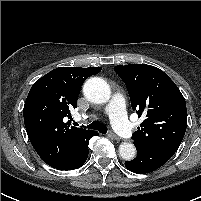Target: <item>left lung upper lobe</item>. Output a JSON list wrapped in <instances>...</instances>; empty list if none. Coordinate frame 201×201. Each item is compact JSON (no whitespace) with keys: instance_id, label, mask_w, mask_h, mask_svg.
Masks as SVG:
<instances>
[{"instance_id":"5c2ea615","label":"left lung upper lobe","mask_w":201,"mask_h":201,"mask_svg":"<svg viewBox=\"0 0 201 201\" xmlns=\"http://www.w3.org/2000/svg\"><path fill=\"white\" fill-rule=\"evenodd\" d=\"M114 71L126 84L132 109L146 115L133 133L136 149L177 150L187 128V110L176 84L151 65H118Z\"/></svg>"}]
</instances>
